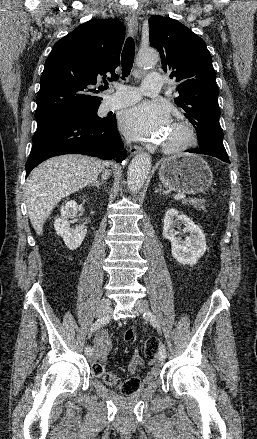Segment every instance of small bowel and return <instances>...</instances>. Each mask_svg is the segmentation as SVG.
<instances>
[{
    "instance_id": "obj_1",
    "label": "small bowel",
    "mask_w": 257,
    "mask_h": 439,
    "mask_svg": "<svg viewBox=\"0 0 257 439\" xmlns=\"http://www.w3.org/2000/svg\"><path fill=\"white\" fill-rule=\"evenodd\" d=\"M96 360L103 362L106 360L110 350L112 348V341L107 330H101L97 332L92 341ZM145 367L143 359L140 357L137 350H135L128 363V371L131 375L137 374L141 369ZM150 370L143 377L142 383L150 384L159 374V368L155 361L149 362Z\"/></svg>"
}]
</instances>
